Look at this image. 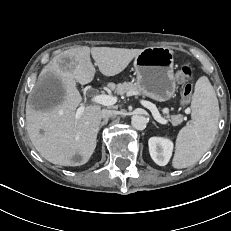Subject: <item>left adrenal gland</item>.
I'll use <instances>...</instances> for the list:
<instances>
[{"label": "left adrenal gland", "mask_w": 231, "mask_h": 231, "mask_svg": "<svg viewBox=\"0 0 231 231\" xmlns=\"http://www.w3.org/2000/svg\"><path fill=\"white\" fill-rule=\"evenodd\" d=\"M152 123L156 126V124H155V122H154V121H152Z\"/></svg>", "instance_id": "a2214340"}]
</instances>
